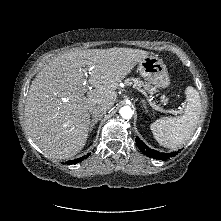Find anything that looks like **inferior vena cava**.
Masks as SVG:
<instances>
[{"label":"inferior vena cava","mask_w":221,"mask_h":221,"mask_svg":"<svg viewBox=\"0 0 221 221\" xmlns=\"http://www.w3.org/2000/svg\"><path fill=\"white\" fill-rule=\"evenodd\" d=\"M108 110L104 104H93L89 107V112L94 118H101Z\"/></svg>","instance_id":"inferior-vena-cava-1"}]
</instances>
